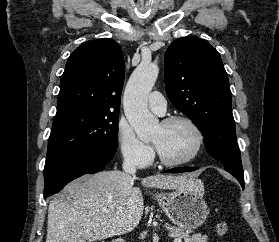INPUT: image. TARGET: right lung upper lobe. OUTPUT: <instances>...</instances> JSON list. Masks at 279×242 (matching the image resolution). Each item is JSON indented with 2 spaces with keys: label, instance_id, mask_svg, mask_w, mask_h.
Returning <instances> with one entry per match:
<instances>
[{
  "label": "right lung upper lobe",
  "instance_id": "right-lung-upper-lobe-1",
  "mask_svg": "<svg viewBox=\"0 0 279 242\" xmlns=\"http://www.w3.org/2000/svg\"><path fill=\"white\" fill-rule=\"evenodd\" d=\"M124 73L117 42L103 38L83 43L67 60L57 114L78 109L119 113Z\"/></svg>",
  "mask_w": 279,
  "mask_h": 242
}]
</instances>
